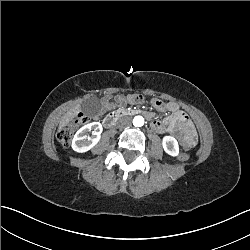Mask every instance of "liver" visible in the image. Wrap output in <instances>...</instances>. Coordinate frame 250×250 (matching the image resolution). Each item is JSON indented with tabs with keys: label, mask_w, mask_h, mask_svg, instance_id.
<instances>
[{
	"label": "liver",
	"mask_w": 250,
	"mask_h": 250,
	"mask_svg": "<svg viewBox=\"0 0 250 250\" xmlns=\"http://www.w3.org/2000/svg\"><path fill=\"white\" fill-rule=\"evenodd\" d=\"M80 111V105H76L74 108L70 109L63 117L60 122V127L67 125Z\"/></svg>",
	"instance_id": "6515ba94"
}]
</instances>
